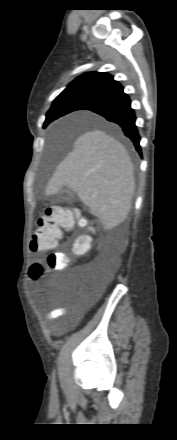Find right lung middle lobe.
I'll list each match as a JSON object with an SVG mask.
<instances>
[{
	"label": "right lung middle lobe",
	"instance_id": "right-lung-middle-lobe-1",
	"mask_svg": "<svg viewBox=\"0 0 177 440\" xmlns=\"http://www.w3.org/2000/svg\"><path fill=\"white\" fill-rule=\"evenodd\" d=\"M92 102L94 99L85 95L74 92L62 93L54 100L48 111L52 119L45 125L72 111L83 109Z\"/></svg>",
	"mask_w": 177,
	"mask_h": 440
}]
</instances>
